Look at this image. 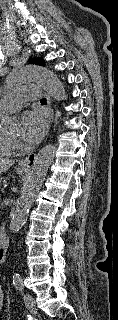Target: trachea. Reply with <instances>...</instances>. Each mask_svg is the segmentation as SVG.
I'll return each instance as SVG.
<instances>
[{
    "instance_id": "3493384b",
    "label": "trachea",
    "mask_w": 118,
    "mask_h": 320,
    "mask_svg": "<svg viewBox=\"0 0 118 320\" xmlns=\"http://www.w3.org/2000/svg\"><path fill=\"white\" fill-rule=\"evenodd\" d=\"M41 103H46V99L45 98H43V99H41V101H40Z\"/></svg>"
}]
</instances>
